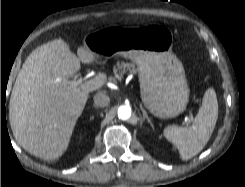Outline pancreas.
I'll return each instance as SVG.
<instances>
[{
	"label": "pancreas",
	"instance_id": "pancreas-1",
	"mask_svg": "<svg viewBox=\"0 0 245 187\" xmlns=\"http://www.w3.org/2000/svg\"><path fill=\"white\" fill-rule=\"evenodd\" d=\"M127 70L130 74L137 72L135 64L124 62H117L116 66H114L113 72L118 80H122Z\"/></svg>",
	"mask_w": 245,
	"mask_h": 187
}]
</instances>
